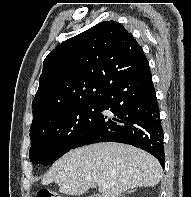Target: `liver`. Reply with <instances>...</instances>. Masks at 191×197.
<instances>
[{
  "mask_svg": "<svg viewBox=\"0 0 191 197\" xmlns=\"http://www.w3.org/2000/svg\"><path fill=\"white\" fill-rule=\"evenodd\" d=\"M162 178L159 161L151 154L131 145L104 142L73 149L58 159L44 174L41 184L55 182L59 191L81 195L99 182L97 197H119L128 189L153 187Z\"/></svg>",
  "mask_w": 191,
  "mask_h": 197,
  "instance_id": "6515ba94",
  "label": "liver"
}]
</instances>
